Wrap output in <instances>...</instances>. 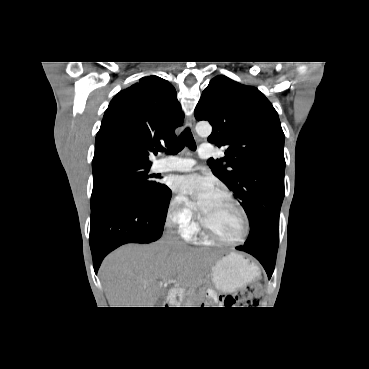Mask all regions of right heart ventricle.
<instances>
[{
    "label": "right heart ventricle",
    "instance_id": "obj_1",
    "mask_svg": "<svg viewBox=\"0 0 369 369\" xmlns=\"http://www.w3.org/2000/svg\"><path fill=\"white\" fill-rule=\"evenodd\" d=\"M199 233V230H198V228L196 227L190 234H188V235H186V236H188V237H192L193 235H196V234H198Z\"/></svg>",
    "mask_w": 369,
    "mask_h": 369
}]
</instances>
